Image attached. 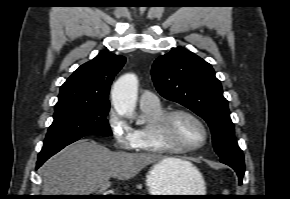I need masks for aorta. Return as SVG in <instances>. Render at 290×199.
<instances>
[{
	"mask_svg": "<svg viewBox=\"0 0 290 199\" xmlns=\"http://www.w3.org/2000/svg\"><path fill=\"white\" fill-rule=\"evenodd\" d=\"M138 79L134 74L121 76L113 85L112 104L115 110L129 118L135 117V107L137 100ZM143 123V120H139Z\"/></svg>",
	"mask_w": 290,
	"mask_h": 199,
	"instance_id": "1",
	"label": "aorta"
}]
</instances>
